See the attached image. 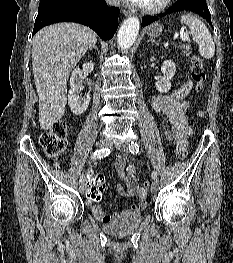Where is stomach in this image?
I'll return each instance as SVG.
<instances>
[{
	"label": "stomach",
	"instance_id": "1",
	"mask_svg": "<svg viewBox=\"0 0 233 263\" xmlns=\"http://www.w3.org/2000/svg\"><path fill=\"white\" fill-rule=\"evenodd\" d=\"M162 33V26L159 23H153L147 28V35L156 38Z\"/></svg>",
	"mask_w": 233,
	"mask_h": 263
}]
</instances>
